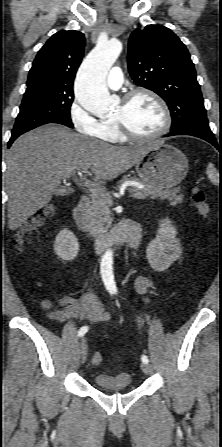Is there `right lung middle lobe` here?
I'll list each match as a JSON object with an SVG mask.
<instances>
[{"mask_svg": "<svg viewBox=\"0 0 222 447\" xmlns=\"http://www.w3.org/2000/svg\"><path fill=\"white\" fill-rule=\"evenodd\" d=\"M72 90L39 85L27 88L12 136H19L47 123L71 124Z\"/></svg>", "mask_w": 222, "mask_h": 447, "instance_id": "dd1d6c3e", "label": "right lung middle lobe"}]
</instances>
